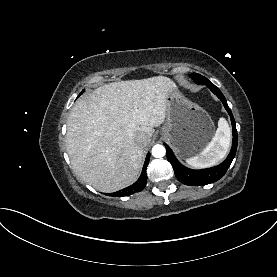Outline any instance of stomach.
Here are the masks:
<instances>
[{
	"instance_id": "obj_1",
	"label": "stomach",
	"mask_w": 277,
	"mask_h": 277,
	"mask_svg": "<svg viewBox=\"0 0 277 277\" xmlns=\"http://www.w3.org/2000/svg\"><path fill=\"white\" fill-rule=\"evenodd\" d=\"M161 135L181 157H191L211 142L215 125L207 111L175 89L166 99V122Z\"/></svg>"
}]
</instances>
